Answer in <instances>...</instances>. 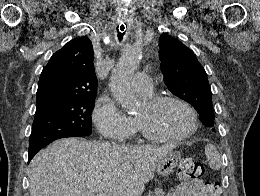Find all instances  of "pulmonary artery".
<instances>
[{
  "label": "pulmonary artery",
  "instance_id": "pulmonary-artery-1",
  "mask_svg": "<svg viewBox=\"0 0 260 196\" xmlns=\"http://www.w3.org/2000/svg\"><path fill=\"white\" fill-rule=\"evenodd\" d=\"M130 83L134 90L141 95H150L153 93V86L148 85L151 84V76H145L144 72H139L136 79H131Z\"/></svg>",
  "mask_w": 260,
  "mask_h": 196
}]
</instances>
